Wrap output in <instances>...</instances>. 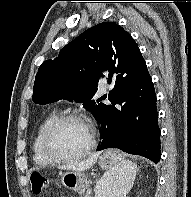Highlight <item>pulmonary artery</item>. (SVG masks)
Masks as SVG:
<instances>
[{
    "instance_id": "e3ab8cb5",
    "label": "pulmonary artery",
    "mask_w": 191,
    "mask_h": 197,
    "mask_svg": "<svg viewBox=\"0 0 191 197\" xmlns=\"http://www.w3.org/2000/svg\"><path fill=\"white\" fill-rule=\"evenodd\" d=\"M99 89L101 92H105L108 89V85L106 81H101L99 85Z\"/></svg>"
}]
</instances>
